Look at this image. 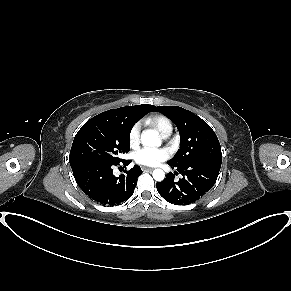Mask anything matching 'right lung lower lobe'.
<instances>
[{"instance_id":"1","label":"right lung lower lobe","mask_w":291,"mask_h":291,"mask_svg":"<svg viewBox=\"0 0 291 291\" xmlns=\"http://www.w3.org/2000/svg\"><path fill=\"white\" fill-rule=\"evenodd\" d=\"M128 165L130 160H121ZM118 163H89L72 168L74 178L81 190L95 202L104 206L123 203L134 192L137 178L142 173L135 165L119 177L113 175V166Z\"/></svg>"}]
</instances>
